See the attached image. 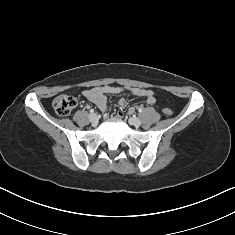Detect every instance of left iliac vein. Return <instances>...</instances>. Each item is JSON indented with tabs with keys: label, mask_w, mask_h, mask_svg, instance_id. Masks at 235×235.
<instances>
[{
	"label": "left iliac vein",
	"mask_w": 235,
	"mask_h": 235,
	"mask_svg": "<svg viewBox=\"0 0 235 235\" xmlns=\"http://www.w3.org/2000/svg\"><path fill=\"white\" fill-rule=\"evenodd\" d=\"M129 123L133 126L139 127L141 125V120L137 117H131Z\"/></svg>",
	"instance_id": "left-iliac-vein-1"
}]
</instances>
